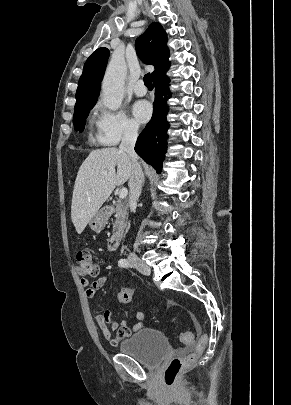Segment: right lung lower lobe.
Here are the masks:
<instances>
[{"instance_id":"1","label":"right lung lower lobe","mask_w":291,"mask_h":405,"mask_svg":"<svg viewBox=\"0 0 291 405\" xmlns=\"http://www.w3.org/2000/svg\"><path fill=\"white\" fill-rule=\"evenodd\" d=\"M153 82L155 100L152 119L139 135L135 151L147 164L152 165L160 173L167 150L166 139L169 128L166 119L168 112L166 100L170 98L171 94L168 89L169 78L166 75L157 77Z\"/></svg>"}]
</instances>
